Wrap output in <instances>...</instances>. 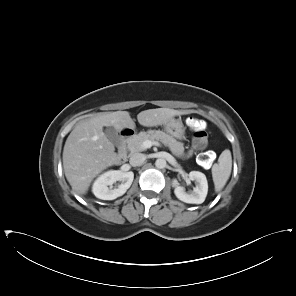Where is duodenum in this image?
I'll use <instances>...</instances> for the list:
<instances>
[{
    "mask_svg": "<svg viewBox=\"0 0 296 296\" xmlns=\"http://www.w3.org/2000/svg\"><path fill=\"white\" fill-rule=\"evenodd\" d=\"M135 136H136V132L131 129L125 130L122 133L121 139L124 143V145L122 147L123 153H126L127 151H129L132 148V144L135 140Z\"/></svg>",
    "mask_w": 296,
    "mask_h": 296,
    "instance_id": "1",
    "label": "duodenum"
}]
</instances>
